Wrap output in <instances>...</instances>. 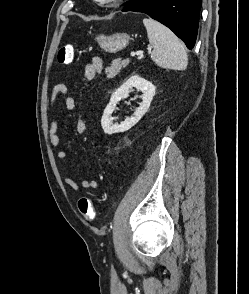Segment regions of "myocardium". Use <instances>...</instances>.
Masks as SVG:
<instances>
[{"label":"myocardium","mask_w":249,"mask_h":294,"mask_svg":"<svg viewBox=\"0 0 249 294\" xmlns=\"http://www.w3.org/2000/svg\"><path fill=\"white\" fill-rule=\"evenodd\" d=\"M99 6L102 7H114L122 3L124 0H105V1H100V0H94Z\"/></svg>","instance_id":"f54148a6"}]
</instances>
